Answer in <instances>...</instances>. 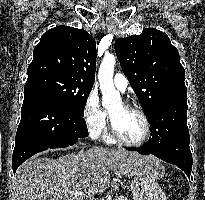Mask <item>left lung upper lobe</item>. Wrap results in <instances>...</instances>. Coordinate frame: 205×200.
<instances>
[{"instance_id":"left-lung-upper-lobe-1","label":"left lung upper lobe","mask_w":205,"mask_h":200,"mask_svg":"<svg viewBox=\"0 0 205 200\" xmlns=\"http://www.w3.org/2000/svg\"><path fill=\"white\" fill-rule=\"evenodd\" d=\"M115 51L149 123L165 101L187 97L185 70L165 33L146 28L140 35L117 39Z\"/></svg>"}]
</instances>
